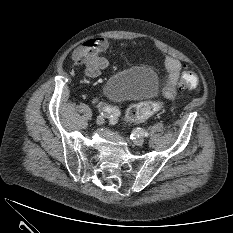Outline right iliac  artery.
<instances>
[{"mask_svg":"<svg viewBox=\"0 0 233 233\" xmlns=\"http://www.w3.org/2000/svg\"><path fill=\"white\" fill-rule=\"evenodd\" d=\"M97 107L101 109L107 117L117 118L120 115V111L115 106L107 104H98Z\"/></svg>","mask_w":233,"mask_h":233,"instance_id":"1","label":"right iliac artery"}]
</instances>
